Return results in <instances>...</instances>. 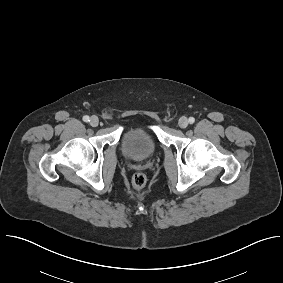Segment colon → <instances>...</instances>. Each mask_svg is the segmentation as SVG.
Segmentation results:
<instances>
[{
  "instance_id": "1",
  "label": "colon",
  "mask_w": 283,
  "mask_h": 283,
  "mask_svg": "<svg viewBox=\"0 0 283 283\" xmlns=\"http://www.w3.org/2000/svg\"><path fill=\"white\" fill-rule=\"evenodd\" d=\"M147 182V177L144 173L138 172L135 173L132 177V187L136 190L142 189Z\"/></svg>"
}]
</instances>
